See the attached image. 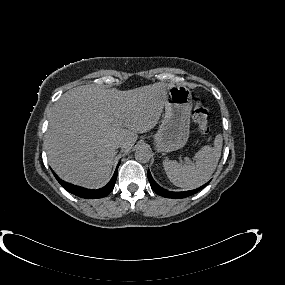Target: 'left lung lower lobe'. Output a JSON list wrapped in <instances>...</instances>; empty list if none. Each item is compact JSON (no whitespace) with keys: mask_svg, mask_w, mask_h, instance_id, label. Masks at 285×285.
<instances>
[{"mask_svg":"<svg viewBox=\"0 0 285 285\" xmlns=\"http://www.w3.org/2000/svg\"><path fill=\"white\" fill-rule=\"evenodd\" d=\"M148 176V180L150 182L151 188L153 189V191L155 193H157L158 195L164 196L166 198H184V197H188L190 195L195 194L196 192H198L199 190H201L202 188H204L209 182H207L206 184H204L203 186L194 189V190H189V191H183V192H172V191H167L162 189L161 187H159L157 185V183L153 180L150 171H148L147 173Z\"/></svg>","mask_w":285,"mask_h":285,"instance_id":"left-lung-lower-lobe-1","label":"left lung lower lobe"}]
</instances>
